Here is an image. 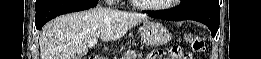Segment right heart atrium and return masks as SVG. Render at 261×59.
<instances>
[{"label": "right heart atrium", "mask_w": 261, "mask_h": 59, "mask_svg": "<svg viewBox=\"0 0 261 59\" xmlns=\"http://www.w3.org/2000/svg\"><path fill=\"white\" fill-rule=\"evenodd\" d=\"M107 2H108L109 4H114V3L117 2V0H107Z\"/></svg>", "instance_id": "1"}]
</instances>
